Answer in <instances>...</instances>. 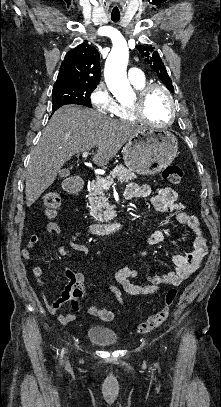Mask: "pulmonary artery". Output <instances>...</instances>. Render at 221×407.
<instances>
[{"mask_svg":"<svg viewBox=\"0 0 221 407\" xmlns=\"http://www.w3.org/2000/svg\"><path fill=\"white\" fill-rule=\"evenodd\" d=\"M128 78L131 83H140L145 80L143 72L137 67H132L129 69Z\"/></svg>","mask_w":221,"mask_h":407,"instance_id":"obj_1","label":"pulmonary artery"}]
</instances>
